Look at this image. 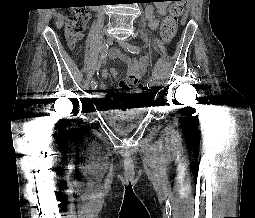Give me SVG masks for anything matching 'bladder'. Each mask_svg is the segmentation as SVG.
Here are the masks:
<instances>
[{
  "instance_id": "obj_1",
  "label": "bladder",
  "mask_w": 255,
  "mask_h": 218,
  "mask_svg": "<svg viewBox=\"0 0 255 218\" xmlns=\"http://www.w3.org/2000/svg\"><path fill=\"white\" fill-rule=\"evenodd\" d=\"M137 122V118L135 116H130L124 120L118 121L115 125V129L120 132H124L126 130L131 129Z\"/></svg>"
}]
</instances>
